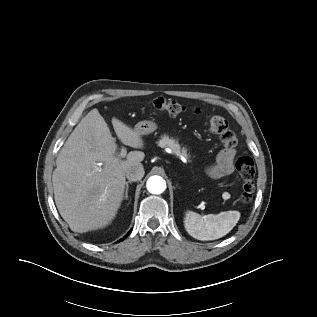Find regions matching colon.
<instances>
[{
    "mask_svg": "<svg viewBox=\"0 0 317 317\" xmlns=\"http://www.w3.org/2000/svg\"><path fill=\"white\" fill-rule=\"evenodd\" d=\"M153 107L156 111L166 113L170 116H177L184 112L182 104L165 98H157L153 101ZM209 130L216 134L223 147L232 149L237 144L235 133L229 128L225 118L218 115H208L207 117ZM236 169L243 178V190L241 200L245 203L251 201L255 191V165L250 157L242 156L236 161Z\"/></svg>",
    "mask_w": 317,
    "mask_h": 317,
    "instance_id": "1",
    "label": "colon"
}]
</instances>
